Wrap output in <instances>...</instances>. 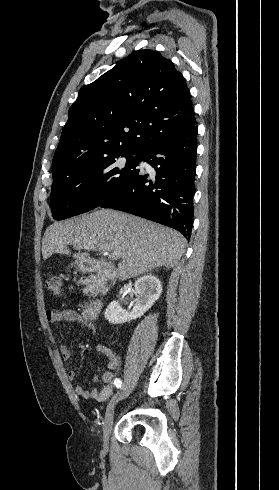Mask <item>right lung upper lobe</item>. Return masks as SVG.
<instances>
[{"instance_id": "cb5924a9", "label": "right lung upper lobe", "mask_w": 279, "mask_h": 490, "mask_svg": "<svg viewBox=\"0 0 279 490\" xmlns=\"http://www.w3.org/2000/svg\"><path fill=\"white\" fill-rule=\"evenodd\" d=\"M195 127L189 90L171 60L135 51L79 91L53 157V178L111 151L141 156Z\"/></svg>"}]
</instances>
